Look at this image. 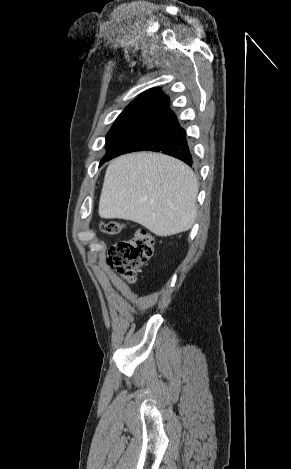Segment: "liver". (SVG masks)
I'll list each match as a JSON object with an SVG mask.
<instances>
[{"mask_svg": "<svg viewBox=\"0 0 291 469\" xmlns=\"http://www.w3.org/2000/svg\"><path fill=\"white\" fill-rule=\"evenodd\" d=\"M197 194V179L183 162L151 152L126 154L107 167L99 215L139 223L157 236H171L193 226Z\"/></svg>", "mask_w": 291, "mask_h": 469, "instance_id": "liver-1", "label": "liver"}]
</instances>
